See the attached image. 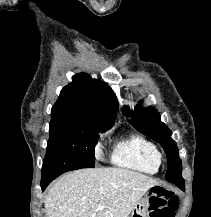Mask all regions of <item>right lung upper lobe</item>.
<instances>
[{"mask_svg": "<svg viewBox=\"0 0 211 217\" xmlns=\"http://www.w3.org/2000/svg\"><path fill=\"white\" fill-rule=\"evenodd\" d=\"M51 109V122L97 124L111 128L118 103L111 88L86 73L76 74Z\"/></svg>", "mask_w": 211, "mask_h": 217, "instance_id": "cb5924a9", "label": "right lung upper lobe"}]
</instances>
